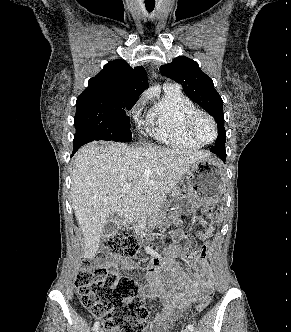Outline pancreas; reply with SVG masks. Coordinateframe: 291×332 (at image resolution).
<instances>
[{"mask_svg": "<svg viewBox=\"0 0 291 332\" xmlns=\"http://www.w3.org/2000/svg\"><path fill=\"white\" fill-rule=\"evenodd\" d=\"M166 197H155L153 199H150L146 202L144 206V214L147 215L149 213H153L159 210V208L165 203Z\"/></svg>", "mask_w": 291, "mask_h": 332, "instance_id": "cf45deb5", "label": "pancreas"}]
</instances>
